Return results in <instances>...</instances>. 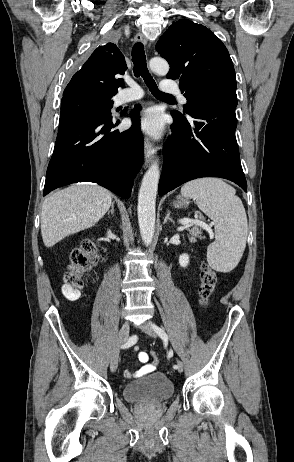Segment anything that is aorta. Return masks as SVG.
<instances>
[{"label": "aorta", "instance_id": "762f6f07", "mask_svg": "<svg viewBox=\"0 0 294 462\" xmlns=\"http://www.w3.org/2000/svg\"><path fill=\"white\" fill-rule=\"evenodd\" d=\"M149 66L158 75H166L169 71V64L162 58H152ZM159 178V164L158 160H155L144 174L138 194V223L146 246L152 243L155 233V204Z\"/></svg>", "mask_w": 294, "mask_h": 462}]
</instances>
